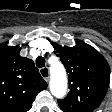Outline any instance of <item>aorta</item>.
Wrapping results in <instances>:
<instances>
[{
  "label": "aorta",
  "mask_w": 112,
  "mask_h": 112,
  "mask_svg": "<svg viewBox=\"0 0 112 112\" xmlns=\"http://www.w3.org/2000/svg\"><path fill=\"white\" fill-rule=\"evenodd\" d=\"M50 91L56 98H63L67 93V76L63 65L56 62L50 67Z\"/></svg>",
  "instance_id": "obj_1"
}]
</instances>
